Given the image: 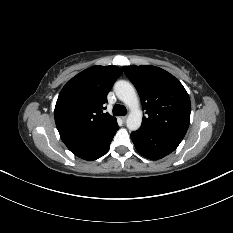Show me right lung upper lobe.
<instances>
[{
  "label": "right lung upper lobe",
  "instance_id": "right-lung-upper-lobe-1",
  "mask_svg": "<svg viewBox=\"0 0 233 233\" xmlns=\"http://www.w3.org/2000/svg\"><path fill=\"white\" fill-rule=\"evenodd\" d=\"M122 71L116 66H93L61 90L55 106V123L65 145L85 140L117 123L104 113L107 94Z\"/></svg>",
  "mask_w": 233,
  "mask_h": 233
}]
</instances>
